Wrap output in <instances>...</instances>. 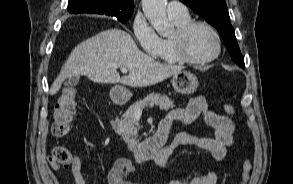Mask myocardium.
Here are the masks:
<instances>
[{
  "mask_svg": "<svg viewBox=\"0 0 293 184\" xmlns=\"http://www.w3.org/2000/svg\"><path fill=\"white\" fill-rule=\"evenodd\" d=\"M196 27H205L207 28L215 38L216 41V51L214 54L207 58L195 59L189 56L186 51V42L189 34ZM172 48L175 56L180 62L192 64V65H203L210 63L217 59L222 52V41L218 31L206 21H190L185 25H182L176 28L175 32L171 36Z\"/></svg>",
  "mask_w": 293,
  "mask_h": 184,
  "instance_id": "1",
  "label": "myocardium"
}]
</instances>
